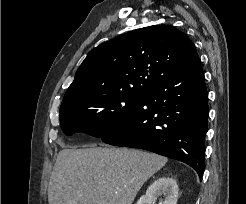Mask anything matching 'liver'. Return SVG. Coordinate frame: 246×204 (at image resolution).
Here are the masks:
<instances>
[{
  "mask_svg": "<svg viewBox=\"0 0 246 204\" xmlns=\"http://www.w3.org/2000/svg\"><path fill=\"white\" fill-rule=\"evenodd\" d=\"M168 159L127 148L63 149L48 186L49 204H132Z\"/></svg>",
  "mask_w": 246,
  "mask_h": 204,
  "instance_id": "liver-1",
  "label": "liver"
}]
</instances>
